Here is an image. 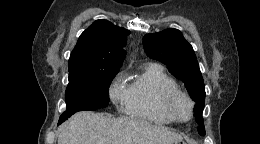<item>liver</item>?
I'll use <instances>...</instances> for the list:
<instances>
[{"mask_svg":"<svg viewBox=\"0 0 260 144\" xmlns=\"http://www.w3.org/2000/svg\"><path fill=\"white\" fill-rule=\"evenodd\" d=\"M182 136L164 126L102 113H76L61 128L58 144H173Z\"/></svg>","mask_w":260,"mask_h":144,"instance_id":"obj_1","label":"liver"}]
</instances>
